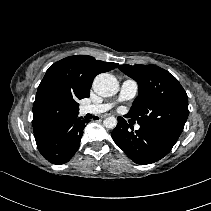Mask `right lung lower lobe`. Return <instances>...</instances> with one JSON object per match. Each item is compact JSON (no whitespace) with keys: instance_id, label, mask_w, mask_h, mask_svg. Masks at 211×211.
I'll return each instance as SVG.
<instances>
[{"instance_id":"right-lung-lower-lobe-1","label":"right lung lower lobe","mask_w":211,"mask_h":211,"mask_svg":"<svg viewBox=\"0 0 211 211\" xmlns=\"http://www.w3.org/2000/svg\"><path fill=\"white\" fill-rule=\"evenodd\" d=\"M86 122L77 114L35 133L39 152L53 164L68 162L79 148Z\"/></svg>"}]
</instances>
